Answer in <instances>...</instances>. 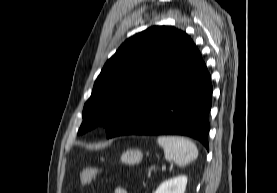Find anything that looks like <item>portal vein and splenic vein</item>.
I'll return each mask as SVG.
<instances>
[{"mask_svg": "<svg viewBox=\"0 0 277 193\" xmlns=\"http://www.w3.org/2000/svg\"><path fill=\"white\" fill-rule=\"evenodd\" d=\"M166 170V166H162V171ZM148 174L150 175L151 172L149 171Z\"/></svg>", "mask_w": 277, "mask_h": 193, "instance_id": "1", "label": "portal vein and splenic vein"}]
</instances>
